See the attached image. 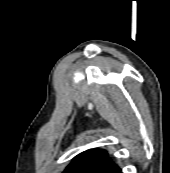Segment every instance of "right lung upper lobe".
Masks as SVG:
<instances>
[{
  "label": "right lung upper lobe",
  "mask_w": 170,
  "mask_h": 173,
  "mask_svg": "<svg viewBox=\"0 0 170 173\" xmlns=\"http://www.w3.org/2000/svg\"><path fill=\"white\" fill-rule=\"evenodd\" d=\"M117 165L100 149H90L77 155L63 173H107Z\"/></svg>",
  "instance_id": "right-lung-upper-lobe-1"
}]
</instances>
